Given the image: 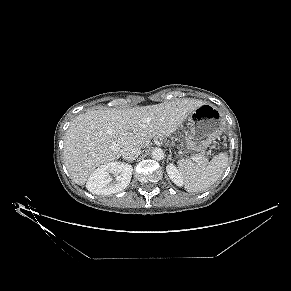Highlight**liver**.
Wrapping results in <instances>:
<instances>
[{
	"instance_id": "liver-1",
	"label": "liver",
	"mask_w": 291,
	"mask_h": 291,
	"mask_svg": "<svg viewBox=\"0 0 291 291\" xmlns=\"http://www.w3.org/2000/svg\"><path fill=\"white\" fill-rule=\"evenodd\" d=\"M197 99H178L131 109L90 110L75 117L64 137L63 159L72 180L84 185L91 173L119 159L122 148L148 147L153 138L175 133L199 106Z\"/></svg>"
}]
</instances>
